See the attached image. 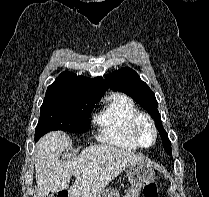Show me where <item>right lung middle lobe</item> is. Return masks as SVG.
Wrapping results in <instances>:
<instances>
[{
	"label": "right lung middle lobe",
	"mask_w": 209,
	"mask_h": 197,
	"mask_svg": "<svg viewBox=\"0 0 209 197\" xmlns=\"http://www.w3.org/2000/svg\"><path fill=\"white\" fill-rule=\"evenodd\" d=\"M99 100L80 88L49 86L40 108L35 139L53 130L71 133L89 130V117Z\"/></svg>",
	"instance_id": "1"
}]
</instances>
